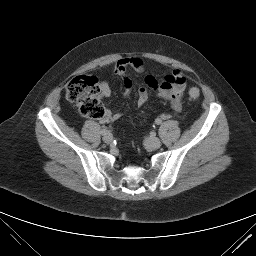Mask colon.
<instances>
[{
  "mask_svg": "<svg viewBox=\"0 0 256 256\" xmlns=\"http://www.w3.org/2000/svg\"><path fill=\"white\" fill-rule=\"evenodd\" d=\"M101 87L96 77L80 75L71 79L65 86L66 99L78 106L80 113L88 118L102 119L105 108L99 99ZM189 97L197 99L200 91L196 87L189 89Z\"/></svg>",
  "mask_w": 256,
  "mask_h": 256,
  "instance_id": "1",
  "label": "colon"
}]
</instances>
